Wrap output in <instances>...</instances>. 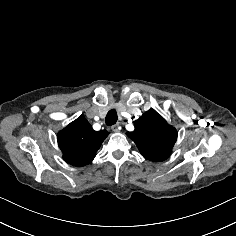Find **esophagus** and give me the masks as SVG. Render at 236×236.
I'll return each mask as SVG.
<instances>
[{
    "mask_svg": "<svg viewBox=\"0 0 236 236\" xmlns=\"http://www.w3.org/2000/svg\"><path fill=\"white\" fill-rule=\"evenodd\" d=\"M118 127H119V123L112 125L111 129H112L114 132H119V128H118Z\"/></svg>",
    "mask_w": 236,
    "mask_h": 236,
    "instance_id": "obj_1",
    "label": "esophagus"
}]
</instances>
